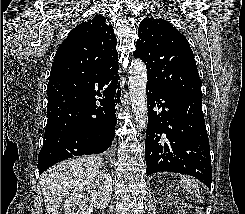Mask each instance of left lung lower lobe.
<instances>
[{"label":"left lung lower lobe","mask_w":245,"mask_h":214,"mask_svg":"<svg viewBox=\"0 0 245 214\" xmlns=\"http://www.w3.org/2000/svg\"><path fill=\"white\" fill-rule=\"evenodd\" d=\"M146 94L147 176L163 171L182 173L194 176L210 188L211 156L202 96L167 93L151 85H147Z\"/></svg>","instance_id":"obj_1"}]
</instances>
